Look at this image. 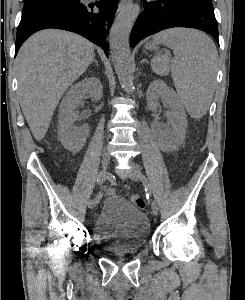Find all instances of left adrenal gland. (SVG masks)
Returning <instances> with one entry per match:
<instances>
[{"label": "left adrenal gland", "mask_w": 245, "mask_h": 300, "mask_svg": "<svg viewBox=\"0 0 245 300\" xmlns=\"http://www.w3.org/2000/svg\"><path fill=\"white\" fill-rule=\"evenodd\" d=\"M141 63H147V64H148V61H147L146 59H143V60L141 61Z\"/></svg>", "instance_id": "a2214340"}]
</instances>
